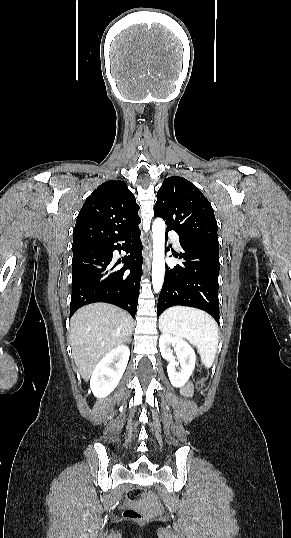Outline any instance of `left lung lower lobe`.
I'll list each match as a JSON object with an SVG mask.
<instances>
[{"mask_svg": "<svg viewBox=\"0 0 291 538\" xmlns=\"http://www.w3.org/2000/svg\"><path fill=\"white\" fill-rule=\"evenodd\" d=\"M180 244L183 262L166 270L157 315L172 306H190L208 312L219 323V244L183 239Z\"/></svg>", "mask_w": 291, "mask_h": 538, "instance_id": "left-lung-lower-lobe-1", "label": "left lung lower lobe"}]
</instances>
